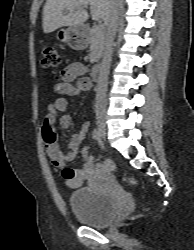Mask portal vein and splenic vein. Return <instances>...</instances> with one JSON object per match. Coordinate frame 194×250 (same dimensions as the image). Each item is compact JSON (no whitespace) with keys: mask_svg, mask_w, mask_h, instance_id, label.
Masks as SVG:
<instances>
[{"mask_svg":"<svg viewBox=\"0 0 194 250\" xmlns=\"http://www.w3.org/2000/svg\"><path fill=\"white\" fill-rule=\"evenodd\" d=\"M103 26L102 25H97L96 28L97 29H101Z\"/></svg>","mask_w":194,"mask_h":250,"instance_id":"18ae733b","label":"portal vein and splenic vein"}]
</instances>
